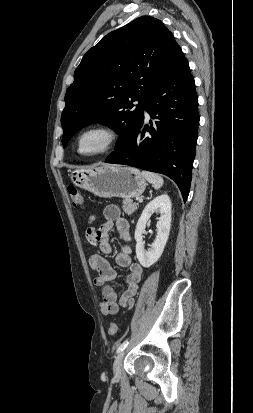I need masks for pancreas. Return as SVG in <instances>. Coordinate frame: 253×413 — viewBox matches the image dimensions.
<instances>
[{
  "instance_id": "obj_1",
  "label": "pancreas",
  "mask_w": 253,
  "mask_h": 413,
  "mask_svg": "<svg viewBox=\"0 0 253 413\" xmlns=\"http://www.w3.org/2000/svg\"><path fill=\"white\" fill-rule=\"evenodd\" d=\"M122 208L124 210V212L128 215H131L132 213H134L137 210V203H134L133 200L131 199H123L122 200Z\"/></svg>"
}]
</instances>
